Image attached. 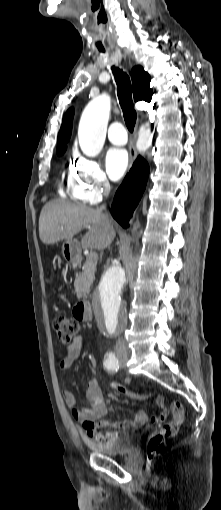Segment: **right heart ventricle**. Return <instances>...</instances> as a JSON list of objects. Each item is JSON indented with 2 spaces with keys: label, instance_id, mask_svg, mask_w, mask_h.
<instances>
[{
  "label": "right heart ventricle",
  "instance_id": "e07e8e85",
  "mask_svg": "<svg viewBox=\"0 0 221 510\" xmlns=\"http://www.w3.org/2000/svg\"><path fill=\"white\" fill-rule=\"evenodd\" d=\"M59 194L64 197V198H67L69 197L70 195L74 196L73 195V192H72V189H71V186H70V183H69V179H68V182H67V186L66 187H63V186H60L59 188Z\"/></svg>",
  "mask_w": 221,
  "mask_h": 510
}]
</instances>
